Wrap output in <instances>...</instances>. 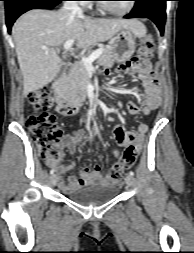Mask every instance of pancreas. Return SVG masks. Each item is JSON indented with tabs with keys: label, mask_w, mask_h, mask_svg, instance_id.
<instances>
[{
	"label": "pancreas",
	"mask_w": 194,
	"mask_h": 253,
	"mask_svg": "<svg viewBox=\"0 0 194 253\" xmlns=\"http://www.w3.org/2000/svg\"><path fill=\"white\" fill-rule=\"evenodd\" d=\"M97 63L104 67H112L114 63L112 48H103ZM89 81L88 73L82 60L77 61L70 69L63 82L65 98L70 102H76L86 95V85Z\"/></svg>",
	"instance_id": "obj_1"
}]
</instances>
